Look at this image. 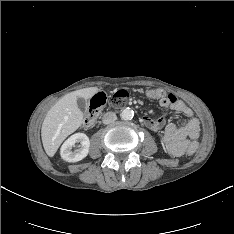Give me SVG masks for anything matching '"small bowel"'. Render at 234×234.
I'll return each mask as SVG.
<instances>
[{"instance_id": "1", "label": "small bowel", "mask_w": 234, "mask_h": 234, "mask_svg": "<svg viewBox=\"0 0 234 234\" xmlns=\"http://www.w3.org/2000/svg\"><path fill=\"white\" fill-rule=\"evenodd\" d=\"M161 93L163 96L159 99V104L164 112L155 119L145 115L142 120L151 130L159 131L165 125V111L172 110L187 116L188 119L180 126L170 123L163 130V143L167 151L173 156H181L187 151L193 140L198 139L200 134L199 121L193 117V110L174 94Z\"/></svg>"}]
</instances>
